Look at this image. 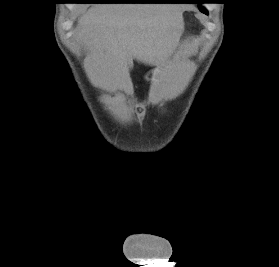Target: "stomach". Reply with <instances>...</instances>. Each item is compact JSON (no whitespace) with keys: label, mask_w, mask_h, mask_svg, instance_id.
<instances>
[{"label":"stomach","mask_w":279,"mask_h":267,"mask_svg":"<svg viewBox=\"0 0 279 267\" xmlns=\"http://www.w3.org/2000/svg\"><path fill=\"white\" fill-rule=\"evenodd\" d=\"M157 72H158V69H157V68L151 70V71L146 75V78L149 79V80H150V79H153V78L156 76Z\"/></svg>","instance_id":"stomach-1"}]
</instances>
